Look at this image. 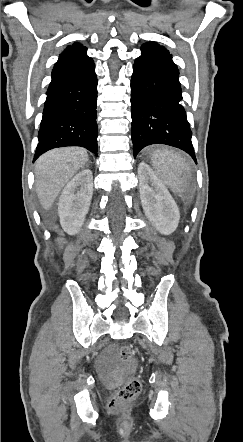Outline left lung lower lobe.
I'll return each mask as SVG.
<instances>
[{"label": "left lung lower lobe", "mask_w": 243, "mask_h": 442, "mask_svg": "<svg viewBox=\"0 0 243 442\" xmlns=\"http://www.w3.org/2000/svg\"><path fill=\"white\" fill-rule=\"evenodd\" d=\"M134 158L151 144H166L187 152L196 162L192 132L182 106L179 71L172 56L156 42L141 46L131 79Z\"/></svg>", "instance_id": "1"}]
</instances>
